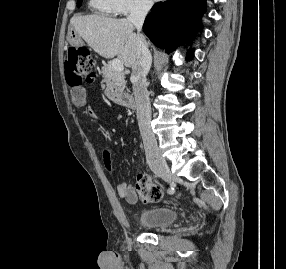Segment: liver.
<instances>
[{
    "label": "liver",
    "mask_w": 286,
    "mask_h": 269,
    "mask_svg": "<svg viewBox=\"0 0 286 269\" xmlns=\"http://www.w3.org/2000/svg\"><path fill=\"white\" fill-rule=\"evenodd\" d=\"M70 27L100 56L112 59L117 56L126 67L137 62L138 38L134 25L127 19H113L101 15H75Z\"/></svg>",
    "instance_id": "6515ba94"
}]
</instances>
